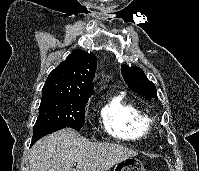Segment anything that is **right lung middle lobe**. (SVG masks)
<instances>
[{"instance_id": "dd1d6c3e", "label": "right lung middle lobe", "mask_w": 199, "mask_h": 171, "mask_svg": "<svg viewBox=\"0 0 199 171\" xmlns=\"http://www.w3.org/2000/svg\"><path fill=\"white\" fill-rule=\"evenodd\" d=\"M87 101L88 98L42 91L39 116L34 125V133L51 127H70L80 130L84 125Z\"/></svg>"}]
</instances>
